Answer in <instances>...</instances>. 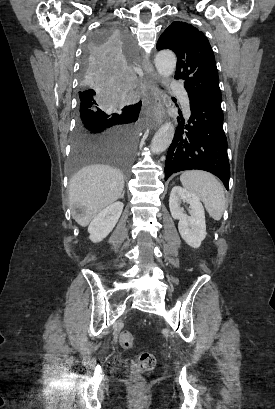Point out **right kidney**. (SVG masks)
I'll return each instance as SVG.
<instances>
[{
	"mask_svg": "<svg viewBox=\"0 0 275 409\" xmlns=\"http://www.w3.org/2000/svg\"><path fill=\"white\" fill-rule=\"evenodd\" d=\"M123 207V202L116 200V202H113V205H109V207L100 211L97 217L91 221L88 233H90L89 239L92 243H100L111 233L116 223H118Z\"/></svg>",
	"mask_w": 275,
	"mask_h": 409,
	"instance_id": "ca27d5eb",
	"label": "right kidney"
}]
</instances>
